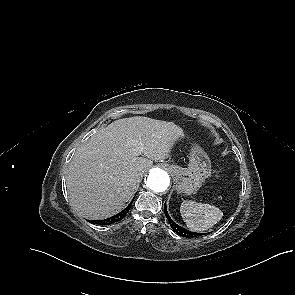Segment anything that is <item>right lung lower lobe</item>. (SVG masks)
I'll return each mask as SVG.
<instances>
[{
	"label": "right lung lower lobe",
	"instance_id": "98d812e1",
	"mask_svg": "<svg viewBox=\"0 0 295 295\" xmlns=\"http://www.w3.org/2000/svg\"><path fill=\"white\" fill-rule=\"evenodd\" d=\"M131 205H132V202L123 211H121L120 213H118L110 218H107L104 220H93V221H89V222L92 224H101V225L112 224V223L118 222V221L122 220L124 218V216L128 213V211L131 208Z\"/></svg>",
	"mask_w": 295,
	"mask_h": 295
}]
</instances>
